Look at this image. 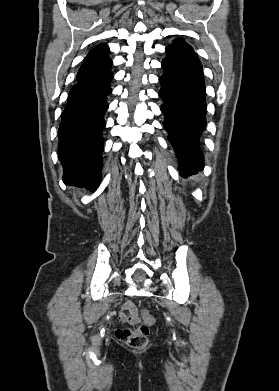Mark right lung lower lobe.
<instances>
[{
  "mask_svg": "<svg viewBox=\"0 0 279 391\" xmlns=\"http://www.w3.org/2000/svg\"><path fill=\"white\" fill-rule=\"evenodd\" d=\"M112 78L109 71L78 81L70 90L58 131L59 160L67 185L95 190L101 182L102 131Z\"/></svg>",
  "mask_w": 279,
  "mask_h": 391,
  "instance_id": "right-lung-lower-lobe-1",
  "label": "right lung lower lobe"
}]
</instances>
